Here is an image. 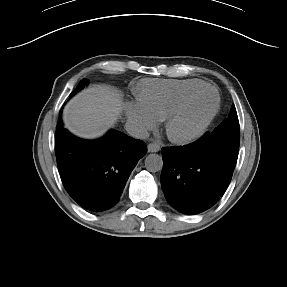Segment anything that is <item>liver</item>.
Returning <instances> with one entry per match:
<instances>
[{
    "instance_id": "obj_1",
    "label": "liver",
    "mask_w": 287,
    "mask_h": 287,
    "mask_svg": "<svg viewBox=\"0 0 287 287\" xmlns=\"http://www.w3.org/2000/svg\"><path fill=\"white\" fill-rule=\"evenodd\" d=\"M121 110L122 98L118 90L107 85H93L66 104L63 121L74 135L94 139L115 124Z\"/></svg>"
}]
</instances>
